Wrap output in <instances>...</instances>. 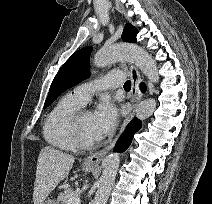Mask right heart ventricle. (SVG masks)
<instances>
[{
	"label": "right heart ventricle",
	"instance_id": "1",
	"mask_svg": "<svg viewBox=\"0 0 212 204\" xmlns=\"http://www.w3.org/2000/svg\"><path fill=\"white\" fill-rule=\"evenodd\" d=\"M82 107L83 104L72 94H67L58 100L43 125V136L50 146L62 151L77 149L70 135L69 120Z\"/></svg>",
	"mask_w": 212,
	"mask_h": 204
}]
</instances>
